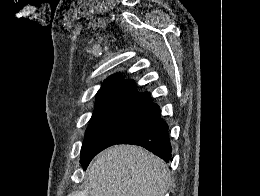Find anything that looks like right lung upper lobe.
<instances>
[{
    "label": "right lung upper lobe",
    "mask_w": 260,
    "mask_h": 196,
    "mask_svg": "<svg viewBox=\"0 0 260 196\" xmlns=\"http://www.w3.org/2000/svg\"><path fill=\"white\" fill-rule=\"evenodd\" d=\"M96 106L130 104L146 108L152 104L149 93H137L132 80H122L113 75L104 83L96 95Z\"/></svg>",
    "instance_id": "obj_1"
}]
</instances>
